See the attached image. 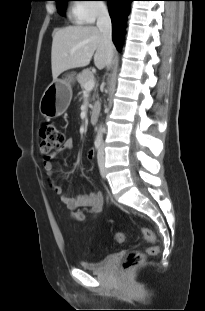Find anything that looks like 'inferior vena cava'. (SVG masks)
Returning a JSON list of instances; mask_svg holds the SVG:
<instances>
[{
  "label": "inferior vena cava",
  "mask_w": 205,
  "mask_h": 311,
  "mask_svg": "<svg viewBox=\"0 0 205 311\" xmlns=\"http://www.w3.org/2000/svg\"><path fill=\"white\" fill-rule=\"evenodd\" d=\"M97 27L103 35L104 43L107 47V65L109 66L113 57L114 45L112 42L111 19L107 8L103 7L98 12ZM102 131V130H101Z\"/></svg>",
  "instance_id": "1"
}]
</instances>
